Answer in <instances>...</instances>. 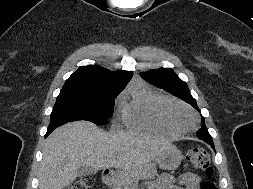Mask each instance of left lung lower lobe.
I'll list each match as a JSON object with an SVG mask.
<instances>
[{"label":"left lung lower lobe","instance_id":"left-lung-lower-lobe-1","mask_svg":"<svg viewBox=\"0 0 253 189\" xmlns=\"http://www.w3.org/2000/svg\"><path fill=\"white\" fill-rule=\"evenodd\" d=\"M197 136H198L199 138L203 139L206 143H208L213 149H215V148H214V143L212 142L211 137L205 136V135H203V134H201V133H197Z\"/></svg>","mask_w":253,"mask_h":189}]
</instances>
